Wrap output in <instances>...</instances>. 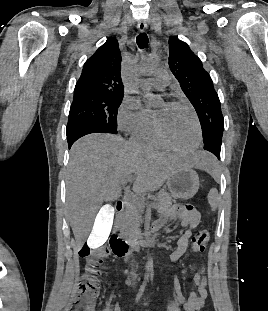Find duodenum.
<instances>
[{
	"label": "duodenum",
	"instance_id": "410a0bca",
	"mask_svg": "<svg viewBox=\"0 0 268 311\" xmlns=\"http://www.w3.org/2000/svg\"><path fill=\"white\" fill-rule=\"evenodd\" d=\"M122 208L123 202H118L116 204V210L118 213ZM152 241L153 238L149 234H140L133 238L125 239L117 233H113L109 239V247L117 256H126L134 250L149 246Z\"/></svg>",
	"mask_w": 268,
	"mask_h": 311
}]
</instances>
